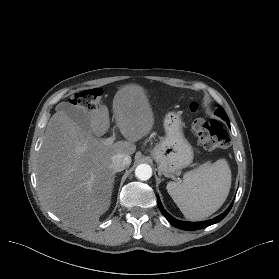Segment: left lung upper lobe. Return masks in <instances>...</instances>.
Listing matches in <instances>:
<instances>
[{
  "label": "left lung upper lobe",
  "mask_w": 279,
  "mask_h": 279,
  "mask_svg": "<svg viewBox=\"0 0 279 279\" xmlns=\"http://www.w3.org/2000/svg\"><path fill=\"white\" fill-rule=\"evenodd\" d=\"M216 115L221 117L227 124L229 123L228 116L222 107H219L216 111Z\"/></svg>",
  "instance_id": "1"
}]
</instances>
